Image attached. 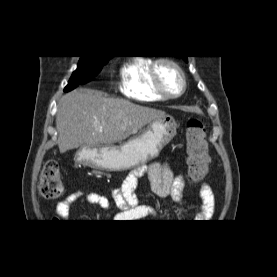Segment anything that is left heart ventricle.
I'll list each match as a JSON object with an SVG mask.
<instances>
[{
  "label": "left heart ventricle",
  "instance_id": "1",
  "mask_svg": "<svg viewBox=\"0 0 277 277\" xmlns=\"http://www.w3.org/2000/svg\"><path fill=\"white\" fill-rule=\"evenodd\" d=\"M161 84L163 88L171 94L179 92L181 89V79L175 69L167 64H160L158 68Z\"/></svg>",
  "mask_w": 277,
  "mask_h": 277
}]
</instances>
